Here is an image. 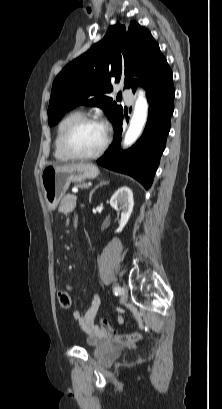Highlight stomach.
I'll return each instance as SVG.
<instances>
[{"mask_svg":"<svg viewBox=\"0 0 222 409\" xmlns=\"http://www.w3.org/2000/svg\"><path fill=\"white\" fill-rule=\"evenodd\" d=\"M98 168L91 163H72L63 166H48L41 173L42 190L46 205L55 210L71 182L80 183L96 178Z\"/></svg>","mask_w":222,"mask_h":409,"instance_id":"obj_1","label":"stomach"}]
</instances>
